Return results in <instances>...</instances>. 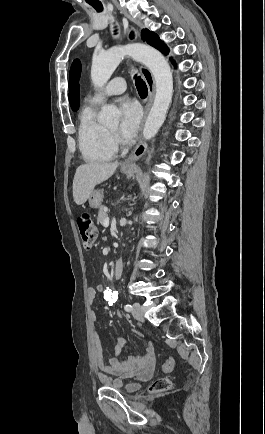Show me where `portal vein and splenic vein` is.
Returning <instances> with one entry per match:
<instances>
[{
    "mask_svg": "<svg viewBox=\"0 0 265 434\" xmlns=\"http://www.w3.org/2000/svg\"><path fill=\"white\" fill-rule=\"evenodd\" d=\"M103 226H104V228H108V226H109V218H106V220H104Z\"/></svg>",
    "mask_w": 265,
    "mask_h": 434,
    "instance_id": "18ae733b",
    "label": "portal vein and splenic vein"
}]
</instances>
